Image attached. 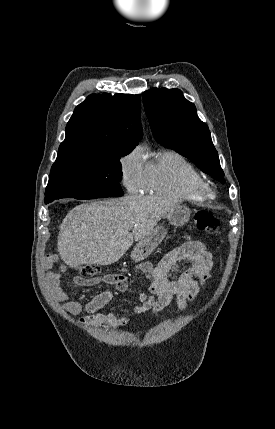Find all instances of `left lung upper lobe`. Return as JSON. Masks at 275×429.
<instances>
[{
	"mask_svg": "<svg viewBox=\"0 0 275 429\" xmlns=\"http://www.w3.org/2000/svg\"><path fill=\"white\" fill-rule=\"evenodd\" d=\"M143 101L155 140L189 158L203 172L224 184V172L209 128L182 91L152 88L143 93Z\"/></svg>",
	"mask_w": 275,
	"mask_h": 429,
	"instance_id": "left-lung-upper-lobe-1",
	"label": "left lung upper lobe"
}]
</instances>
